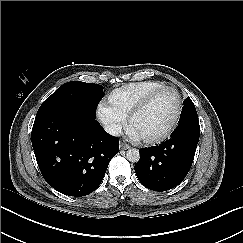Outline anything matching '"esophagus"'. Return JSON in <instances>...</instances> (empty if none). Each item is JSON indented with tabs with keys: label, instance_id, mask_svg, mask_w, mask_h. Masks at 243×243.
<instances>
[{
	"label": "esophagus",
	"instance_id": "34e87169",
	"mask_svg": "<svg viewBox=\"0 0 243 243\" xmlns=\"http://www.w3.org/2000/svg\"><path fill=\"white\" fill-rule=\"evenodd\" d=\"M119 146H120V149H122V150H127L130 148V145H128L127 143L122 142V141L120 142Z\"/></svg>",
	"mask_w": 243,
	"mask_h": 243
}]
</instances>
